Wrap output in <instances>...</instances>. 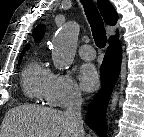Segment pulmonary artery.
I'll return each mask as SVG.
<instances>
[{
  "mask_svg": "<svg viewBox=\"0 0 144 137\" xmlns=\"http://www.w3.org/2000/svg\"><path fill=\"white\" fill-rule=\"evenodd\" d=\"M78 53L84 60H93L96 56L95 50L91 45H82L78 49Z\"/></svg>",
  "mask_w": 144,
  "mask_h": 137,
  "instance_id": "1",
  "label": "pulmonary artery"
}]
</instances>
